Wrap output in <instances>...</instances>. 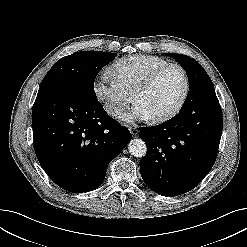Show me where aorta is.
<instances>
[{"label":"aorta","mask_w":247,"mask_h":247,"mask_svg":"<svg viewBox=\"0 0 247 247\" xmlns=\"http://www.w3.org/2000/svg\"><path fill=\"white\" fill-rule=\"evenodd\" d=\"M128 149L131 155L138 158L144 157L147 152L146 144L140 138L131 140L130 143L128 144Z\"/></svg>","instance_id":"762f6f07"}]
</instances>
